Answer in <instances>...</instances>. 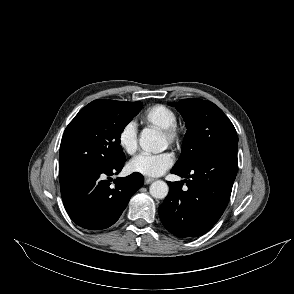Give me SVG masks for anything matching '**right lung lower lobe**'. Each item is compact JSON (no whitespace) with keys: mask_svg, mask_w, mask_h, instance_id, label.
I'll use <instances>...</instances> for the list:
<instances>
[{"mask_svg":"<svg viewBox=\"0 0 294 294\" xmlns=\"http://www.w3.org/2000/svg\"><path fill=\"white\" fill-rule=\"evenodd\" d=\"M125 162V161H124ZM124 162L112 166L83 168L59 173L61 196L70 218L89 230L105 229L113 225L126 208L131 196L144 183L135 172L114 180Z\"/></svg>","mask_w":294,"mask_h":294,"instance_id":"98d812e1","label":"right lung lower lobe"}]
</instances>
